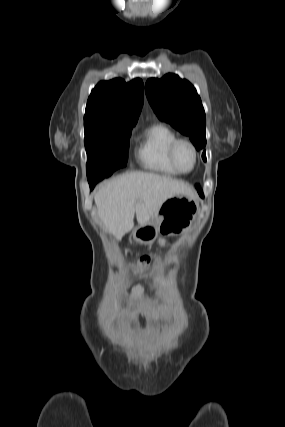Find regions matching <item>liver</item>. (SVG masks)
Instances as JSON below:
<instances>
[{"instance_id":"obj_1","label":"liver","mask_w":285,"mask_h":427,"mask_svg":"<svg viewBox=\"0 0 285 427\" xmlns=\"http://www.w3.org/2000/svg\"><path fill=\"white\" fill-rule=\"evenodd\" d=\"M177 195L194 197L184 182L155 173L132 172L104 184L94 195L98 217L109 234L120 240L134 227L149 223L158 209Z\"/></svg>"}]
</instances>
